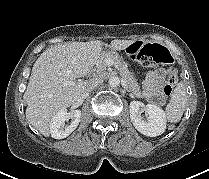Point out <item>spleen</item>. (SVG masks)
I'll return each instance as SVG.
<instances>
[{"label":"spleen","mask_w":209,"mask_h":179,"mask_svg":"<svg viewBox=\"0 0 209 179\" xmlns=\"http://www.w3.org/2000/svg\"><path fill=\"white\" fill-rule=\"evenodd\" d=\"M187 103L186 88L183 83H178L171 96L170 103L166 106L165 116L171 123L180 121Z\"/></svg>","instance_id":"1"}]
</instances>
